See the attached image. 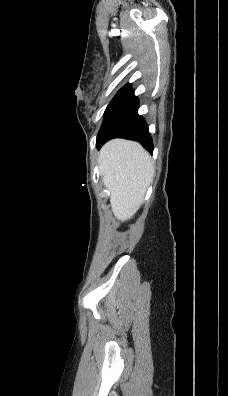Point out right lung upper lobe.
Listing matches in <instances>:
<instances>
[{"label":"right lung upper lobe","mask_w":228,"mask_h":396,"mask_svg":"<svg viewBox=\"0 0 228 396\" xmlns=\"http://www.w3.org/2000/svg\"><path fill=\"white\" fill-rule=\"evenodd\" d=\"M130 86V84H126L123 88H127V87H129Z\"/></svg>","instance_id":"cb5924a9"}]
</instances>
